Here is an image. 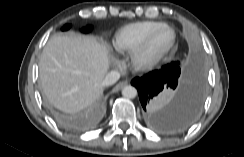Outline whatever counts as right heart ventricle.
Listing matches in <instances>:
<instances>
[{"mask_svg":"<svg viewBox=\"0 0 244 157\" xmlns=\"http://www.w3.org/2000/svg\"><path fill=\"white\" fill-rule=\"evenodd\" d=\"M164 25L158 21L137 22L119 29L112 41L114 51L123 54L130 53L139 46L156 28Z\"/></svg>","mask_w":244,"mask_h":157,"instance_id":"e07e8e85","label":"right heart ventricle"}]
</instances>
